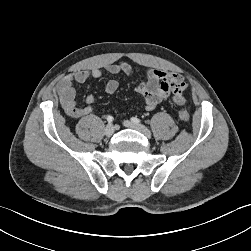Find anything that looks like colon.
<instances>
[{
    "mask_svg": "<svg viewBox=\"0 0 251 251\" xmlns=\"http://www.w3.org/2000/svg\"><path fill=\"white\" fill-rule=\"evenodd\" d=\"M179 117H180V119H181L182 121H184V122H188V121L190 120V114H189L188 111L185 110V109H181V110L179 111Z\"/></svg>",
    "mask_w": 251,
    "mask_h": 251,
    "instance_id": "obj_1",
    "label": "colon"
}]
</instances>
